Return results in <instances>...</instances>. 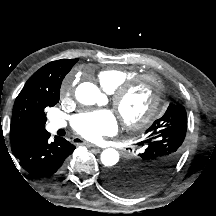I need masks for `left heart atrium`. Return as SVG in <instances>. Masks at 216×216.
Here are the masks:
<instances>
[{
  "label": "left heart atrium",
  "mask_w": 216,
  "mask_h": 216,
  "mask_svg": "<svg viewBox=\"0 0 216 216\" xmlns=\"http://www.w3.org/2000/svg\"><path fill=\"white\" fill-rule=\"evenodd\" d=\"M73 129L88 140H98L104 135L113 134L118 127L112 111L102 109L82 112L72 118Z\"/></svg>",
  "instance_id": "1"
}]
</instances>
